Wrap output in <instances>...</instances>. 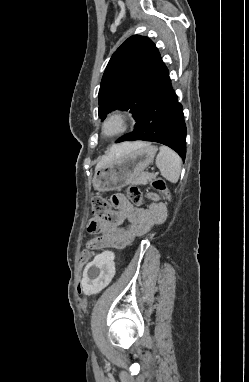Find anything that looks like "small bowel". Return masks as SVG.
Masks as SVG:
<instances>
[{"label": "small bowel", "instance_id": "obj_1", "mask_svg": "<svg viewBox=\"0 0 249 382\" xmlns=\"http://www.w3.org/2000/svg\"><path fill=\"white\" fill-rule=\"evenodd\" d=\"M111 202L114 210L106 216H94L88 222L89 233L98 235L89 241L88 245L91 247L99 249L124 247L146 234L154 225L163 223L167 217L166 208L137 207L121 194L113 195ZM125 222L128 223L127 227L122 226ZM78 291H82L81 284L78 286Z\"/></svg>", "mask_w": 249, "mask_h": 382}]
</instances>
